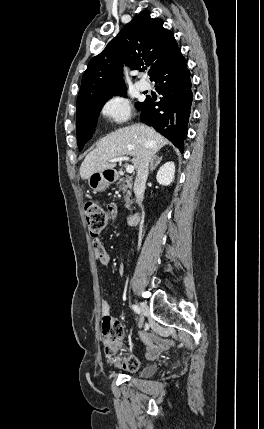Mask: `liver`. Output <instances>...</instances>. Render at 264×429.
I'll list each match as a JSON object with an SVG mask.
<instances>
[{
    "mask_svg": "<svg viewBox=\"0 0 264 429\" xmlns=\"http://www.w3.org/2000/svg\"><path fill=\"white\" fill-rule=\"evenodd\" d=\"M165 144L166 138L144 124L120 128L102 138L96 148L85 157L80 166V176L86 180L94 172L113 169L115 164L110 161L125 155L133 157V164L137 169L146 152L152 156Z\"/></svg>",
    "mask_w": 264,
    "mask_h": 429,
    "instance_id": "liver-1",
    "label": "liver"
}]
</instances>
